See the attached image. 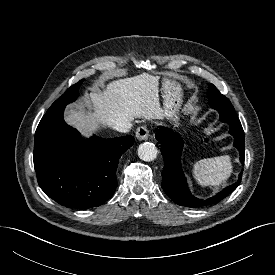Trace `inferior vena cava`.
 <instances>
[{
  "mask_svg": "<svg viewBox=\"0 0 275 275\" xmlns=\"http://www.w3.org/2000/svg\"><path fill=\"white\" fill-rule=\"evenodd\" d=\"M132 127V122L130 120H125L116 123L112 128L118 132L127 133Z\"/></svg>",
  "mask_w": 275,
  "mask_h": 275,
  "instance_id": "obj_1",
  "label": "inferior vena cava"
}]
</instances>
